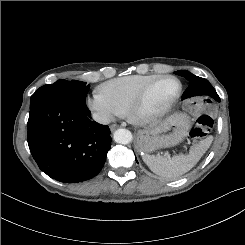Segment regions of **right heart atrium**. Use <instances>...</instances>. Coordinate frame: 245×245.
<instances>
[{
    "mask_svg": "<svg viewBox=\"0 0 245 245\" xmlns=\"http://www.w3.org/2000/svg\"><path fill=\"white\" fill-rule=\"evenodd\" d=\"M86 106L96 121L108 124L124 113L99 90L86 98Z\"/></svg>",
    "mask_w": 245,
    "mask_h": 245,
    "instance_id": "d8ad5b80",
    "label": "right heart atrium"
}]
</instances>
